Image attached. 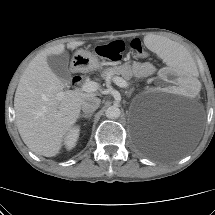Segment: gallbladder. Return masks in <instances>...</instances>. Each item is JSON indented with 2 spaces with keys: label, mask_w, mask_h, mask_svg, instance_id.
<instances>
[{
  "label": "gallbladder",
  "mask_w": 215,
  "mask_h": 215,
  "mask_svg": "<svg viewBox=\"0 0 215 215\" xmlns=\"http://www.w3.org/2000/svg\"><path fill=\"white\" fill-rule=\"evenodd\" d=\"M47 63L53 73L65 84L70 83L71 73L68 69L69 56L67 52L58 55H48Z\"/></svg>",
  "instance_id": "bac80fb5"
}]
</instances>
